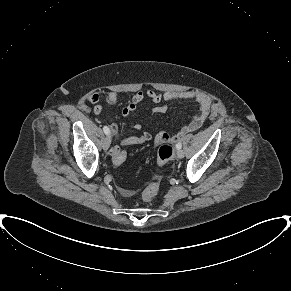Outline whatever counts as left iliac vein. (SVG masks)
Segmentation results:
<instances>
[{
    "mask_svg": "<svg viewBox=\"0 0 291 291\" xmlns=\"http://www.w3.org/2000/svg\"><path fill=\"white\" fill-rule=\"evenodd\" d=\"M177 157L182 159L184 157V151L181 149H178L177 150Z\"/></svg>",
    "mask_w": 291,
    "mask_h": 291,
    "instance_id": "obj_1",
    "label": "left iliac vein"
}]
</instances>
